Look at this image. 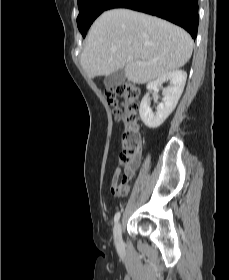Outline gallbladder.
Listing matches in <instances>:
<instances>
[{
	"label": "gallbladder",
	"instance_id": "1",
	"mask_svg": "<svg viewBox=\"0 0 229 280\" xmlns=\"http://www.w3.org/2000/svg\"><path fill=\"white\" fill-rule=\"evenodd\" d=\"M125 78L126 76L124 69H119L116 72L111 73L110 75H107L105 77L104 85L110 87L118 86L125 81Z\"/></svg>",
	"mask_w": 229,
	"mask_h": 280
}]
</instances>
